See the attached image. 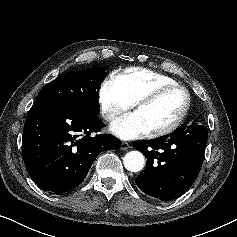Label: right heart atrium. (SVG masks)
I'll list each match as a JSON object with an SVG mask.
<instances>
[{"label":"right heart atrium","mask_w":237,"mask_h":237,"mask_svg":"<svg viewBox=\"0 0 237 237\" xmlns=\"http://www.w3.org/2000/svg\"><path fill=\"white\" fill-rule=\"evenodd\" d=\"M98 104L101 117L109 123L115 121L132 106L113 76L101 82L98 89Z\"/></svg>","instance_id":"d8ad5b80"}]
</instances>
